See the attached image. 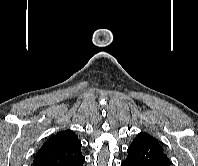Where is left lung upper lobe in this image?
Listing matches in <instances>:
<instances>
[{
  "label": "left lung upper lobe",
  "mask_w": 198,
  "mask_h": 166,
  "mask_svg": "<svg viewBox=\"0 0 198 166\" xmlns=\"http://www.w3.org/2000/svg\"><path fill=\"white\" fill-rule=\"evenodd\" d=\"M127 158L139 166H170L171 162L159 141L141 132L127 150Z\"/></svg>",
  "instance_id": "obj_1"
}]
</instances>
